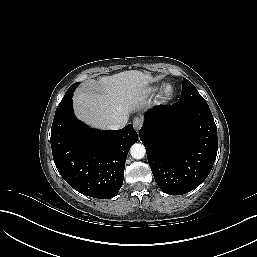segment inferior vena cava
Returning <instances> with one entry per match:
<instances>
[{
    "label": "inferior vena cava",
    "mask_w": 257,
    "mask_h": 257,
    "mask_svg": "<svg viewBox=\"0 0 257 257\" xmlns=\"http://www.w3.org/2000/svg\"><path fill=\"white\" fill-rule=\"evenodd\" d=\"M128 120V116L126 114H124L123 116H121L117 121L110 123L107 125V129L109 130H118L122 127H124L127 123Z\"/></svg>",
    "instance_id": "inferior-vena-cava-1"
}]
</instances>
